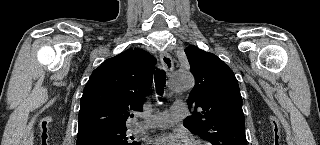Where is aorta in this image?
<instances>
[{"label":"aorta","instance_id":"762f6f07","mask_svg":"<svg viewBox=\"0 0 320 145\" xmlns=\"http://www.w3.org/2000/svg\"><path fill=\"white\" fill-rule=\"evenodd\" d=\"M194 86V78L188 71H175L170 78V90L173 92L186 91Z\"/></svg>","mask_w":320,"mask_h":145}]
</instances>
